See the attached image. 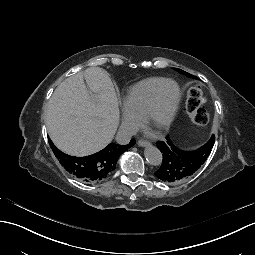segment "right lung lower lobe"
<instances>
[{"label": "right lung lower lobe", "mask_w": 255, "mask_h": 255, "mask_svg": "<svg viewBox=\"0 0 255 255\" xmlns=\"http://www.w3.org/2000/svg\"><path fill=\"white\" fill-rule=\"evenodd\" d=\"M135 144V140L132 139ZM83 169L84 176L86 178H91L93 175H96L100 172V160L98 158H94L92 153H85L83 155Z\"/></svg>", "instance_id": "98d812e1"}]
</instances>
